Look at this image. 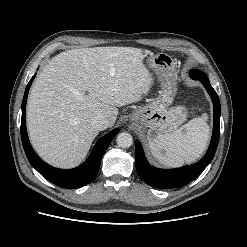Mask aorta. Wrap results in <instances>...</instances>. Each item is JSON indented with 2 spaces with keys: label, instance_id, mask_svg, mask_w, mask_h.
I'll return each instance as SVG.
<instances>
[{
  "label": "aorta",
  "instance_id": "obj_1",
  "mask_svg": "<svg viewBox=\"0 0 247 247\" xmlns=\"http://www.w3.org/2000/svg\"><path fill=\"white\" fill-rule=\"evenodd\" d=\"M116 142L121 148H129L133 144V138L130 133L122 132L118 134Z\"/></svg>",
  "mask_w": 247,
  "mask_h": 247
}]
</instances>
